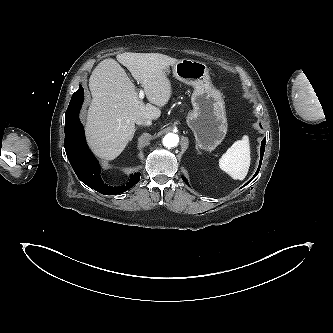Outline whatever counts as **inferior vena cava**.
I'll use <instances>...</instances> for the list:
<instances>
[{"mask_svg":"<svg viewBox=\"0 0 333 333\" xmlns=\"http://www.w3.org/2000/svg\"><path fill=\"white\" fill-rule=\"evenodd\" d=\"M136 124L150 126L152 121L149 118L141 117L136 120Z\"/></svg>","mask_w":333,"mask_h":333,"instance_id":"1","label":"inferior vena cava"}]
</instances>
